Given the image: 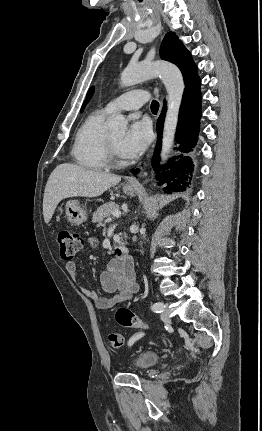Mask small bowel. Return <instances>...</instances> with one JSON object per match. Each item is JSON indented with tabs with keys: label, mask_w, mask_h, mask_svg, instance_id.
<instances>
[{
	"label": "small bowel",
	"mask_w": 262,
	"mask_h": 431,
	"mask_svg": "<svg viewBox=\"0 0 262 431\" xmlns=\"http://www.w3.org/2000/svg\"><path fill=\"white\" fill-rule=\"evenodd\" d=\"M65 268L79 290L87 298L95 301L96 306L101 310L111 309L117 304L132 299L139 290L131 258L123 259L116 257L108 262L105 270L100 275V285L103 294L88 288L78 280L76 264L74 262H67ZM142 336H144V333L138 332L131 337L130 341L134 342Z\"/></svg>",
	"instance_id": "small-bowel-1"
}]
</instances>
